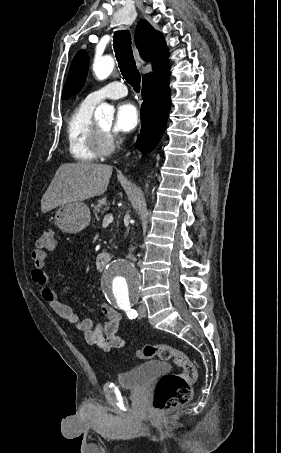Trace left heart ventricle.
<instances>
[{
    "label": "left heart ventricle",
    "mask_w": 281,
    "mask_h": 453,
    "mask_svg": "<svg viewBox=\"0 0 281 453\" xmlns=\"http://www.w3.org/2000/svg\"><path fill=\"white\" fill-rule=\"evenodd\" d=\"M111 122L112 121H106V122H101V123H97L103 130L105 131H109L110 128H111Z\"/></svg>",
    "instance_id": "left-heart-ventricle-1"
}]
</instances>
